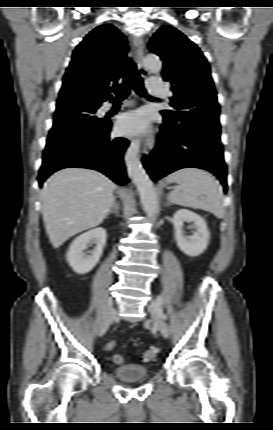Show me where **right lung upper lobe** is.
Listing matches in <instances>:
<instances>
[{
	"instance_id": "obj_1",
	"label": "right lung upper lobe",
	"mask_w": 273,
	"mask_h": 430,
	"mask_svg": "<svg viewBox=\"0 0 273 430\" xmlns=\"http://www.w3.org/2000/svg\"><path fill=\"white\" fill-rule=\"evenodd\" d=\"M126 38L112 25L93 29L75 48L63 78L57 107L70 100L100 106L123 75Z\"/></svg>"
}]
</instances>
